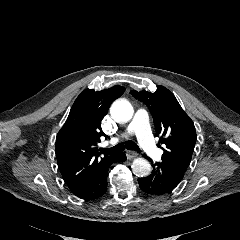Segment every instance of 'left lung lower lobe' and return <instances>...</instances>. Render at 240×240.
I'll list each match as a JSON object with an SVG mask.
<instances>
[{
    "mask_svg": "<svg viewBox=\"0 0 240 240\" xmlns=\"http://www.w3.org/2000/svg\"><path fill=\"white\" fill-rule=\"evenodd\" d=\"M183 179V176L163 163L154 165L152 173L139 178L141 190L148 195H162L174 190Z\"/></svg>",
    "mask_w": 240,
    "mask_h": 240,
    "instance_id": "left-lung-lower-lobe-1",
    "label": "left lung lower lobe"
}]
</instances>
